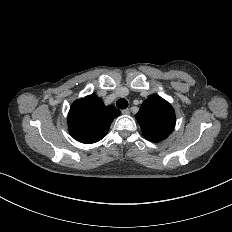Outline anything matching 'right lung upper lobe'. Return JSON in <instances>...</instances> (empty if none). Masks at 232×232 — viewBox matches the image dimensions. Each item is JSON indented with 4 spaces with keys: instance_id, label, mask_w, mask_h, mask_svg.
<instances>
[{
    "instance_id": "obj_1",
    "label": "right lung upper lobe",
    "mask_w": 232,
    "mask_h": 232,
    "mask_svg": "<svg viewBox=\"0 0 232 232\" xmlns=\"http://www.w3.org/2000/svg\"><path fill=\"white\" fill-rule=\"evenodd\" d=\"M120 115L114 106H105L95 94L76 100L69 111L71 136L82 143H95L104 138L113 119Z\"/></svg>"
}]
</instances>
